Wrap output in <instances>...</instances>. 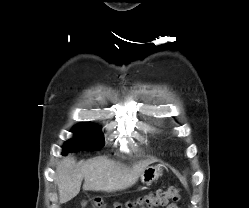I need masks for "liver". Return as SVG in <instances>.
Masks as SVG:
<instances>
[{
	"label": "liver",
	"mask_w": 249,
	"mask_h": 208,
	"mask_svg": "<svg viewBox=\"0 0 249 208\" xmlns=\"http://www.w3.org/2000/svg\"><path fill=\"white\" fill-rule=\"evenodd\" d=\"M152 162L145 160L127 167L105 157H95L77 163L74 157L67 156L56 168L60 203H66L78 195L83 179L85 191L125 190L136 183L143 170Z\"/></svg>",
	"instance_id": "6515ba94"
}]
</instances>
